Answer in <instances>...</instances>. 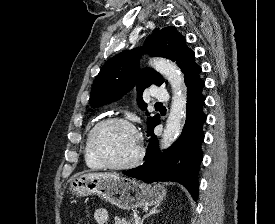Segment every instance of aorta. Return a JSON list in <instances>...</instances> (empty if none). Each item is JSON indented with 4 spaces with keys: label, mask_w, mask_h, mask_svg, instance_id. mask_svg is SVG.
Segmentation results:
<instances>
[{
    "label": "aorta",
    "mask_w": 275,
    "mask_h": 224,
    "mask_svg": "<svg viewBox=\"0 0 275 224\" xmlns=\"http://www.w3.org/2000/svg\"><path fill=\"white\" fill-rule=\"evenodd\" d=\"M151 66L169 81L173 90L170 113L160 140V147L165 149L182 131V119L185 116L187 103L184 77L180 69L169 60L157 58L151 62Z\"/></svg>",
    "instance_id": "aorta-1"
}]
</instances>
